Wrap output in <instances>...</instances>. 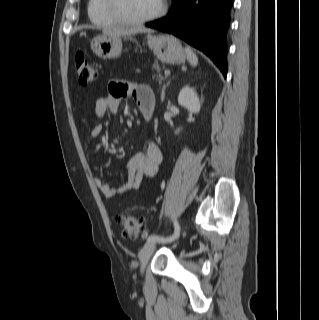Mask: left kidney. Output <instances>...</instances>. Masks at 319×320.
I'll list each match as a JSON object with an SVG mask.
<instances>
[{
    "instance_id": "left-kidney-1",
    "label": "left kidney",
    "mask_w": 319,
    "mask_h": 320,
    "mask_svg": "<svg viewBox=\"0 0 319 320\" xmlns=\"http://www.w3.org/2000/svg\"><path fill=\"white\" fill-rule=\"evenodd\" d=\"M178 104L185 107L191 114L200 112L201 104L193 88L185 86L178 96Z\"/></svg>"
}]
</instances>
